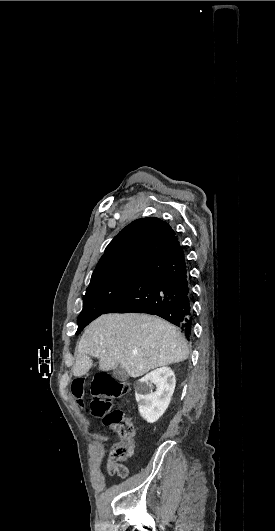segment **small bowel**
<instances>
[{
  "label": "small bowel",
  "instance_id": "small-bowel-1",
  "mask_svg": "<svg viewBox=\"0 0 275 531\" xmlns=\"http://www.w3.org/2000/svg\"><path fill=\"white\" fill-rule=\"evenodd\" d=\"M133 449H134V447H131V454L133 453ZM105 473L108 474L107 473V467H105ZM127 476L128 475H120V477H124V478H126Z\"/></svg>",
  "mask_w": 275,
  "mask_h": 531
}]
</instances>
